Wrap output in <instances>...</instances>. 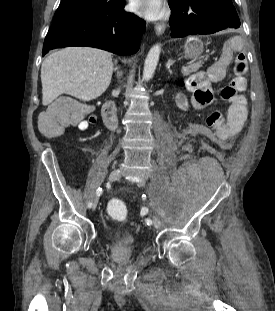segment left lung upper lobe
I'll use <instances>...</instances> for the list:
<instances>
[{
	"mask_svg": "<svg viewBox=\"0 0 275 311\" xmlns=\"http://www.w3.org/2000/svg\"><path fill=\"white\" fill-rule=\"evenodd\" d=\"M181 1H186V0H181ZM223 1H227V2L232 3V1H231V0H223Z\"/></svg>",
	"mask_w": 275,
	"mask_h": 311,
	"instance_id": "5c2ea615",
	"label": "left lung upper lobe"
}]
</instances>
